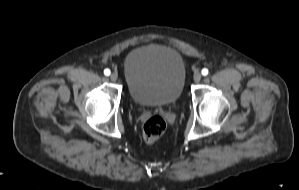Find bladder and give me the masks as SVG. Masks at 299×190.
Returning a JSON list of instances; mask_svg holds the SVG:
<instances>
[{
    "label": "bladder",
    "mask_w": 299,
    "mask_h": 190,
    "mask_svg": "<svg viewBox=\"0 0 299 190\" xmlns=\"http://www.w3.org/2000/svg\"><path fill=\"white\" fill-rule=\"evenodd\" d=\"M123 74L133 101L142 106L174 103L181 95L186 66L181 53L167 45L145 44L124 59Z\"/></svg>",
    "instance_id": "31cf9c89"
}]
</instances>
